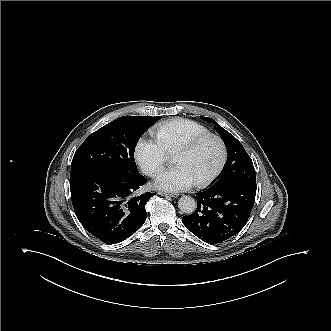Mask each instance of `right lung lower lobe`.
I'll list each match as a JSON object with an SVG mask.
<instances>
[{
  "instance_id": "obj_1",
  "label": "right lung lower lobe",
  "mask_w": 331,
  "mask_h": 331,
  "mask_svg": "<svg viewBox=\"0 0 331 331\" xmlns=\"http://www.w3.org/2000/svg\"><path fill=\"white\" fill-rule=\"evenodd\" d=\"M147 179L140 175L126 180L99 170H89L70 178L71 199L83 227L106 244L131 236L147 218L145 205L155 193L134 192Z\"/></svg>"
}]
</instances>
